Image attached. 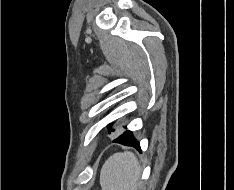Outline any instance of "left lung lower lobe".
<instances>
[{
	"label": "left lung lower lobe",
	"mask_w": 234,
	"mask_h": 190,
	"mask_svg": "<svg viewBox=\"0 0 234 190\" xmlns=\"http://www.w3.org/2000/svg\"><path fill=\"white\" fill-rule=\"evenodd\" d=\"M126 128V127H125ZM113 142L120 143L126 146H132L138 149L141 152L139 142L133 137L132 132L127 130Z\"/></svg>",
	"instance_id": "1"
}]
</instances>
